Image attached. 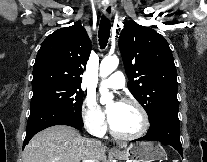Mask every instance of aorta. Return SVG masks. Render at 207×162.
Returning a JSON list of instances; mask_svg holds the SVG:
<instances>
[{"instance_id": "aorta-1", "label": "aorta", "mask_w": 207, "mask_h": 162, "mask_svg": "<svg viewBox=\"0 0 207 162\" xmlns=\"http://www.w3.org/2000/svg\"><path fill=\"white\" fill-rule=\"evenodd\" d=\"M119 59L116 55H109L106 56L100 64V76L102 78L107 77L110 75L115 69L118 67ZM101 93L100 102L102 104H109L112 103L113 95L112 93H109L107 87L102 84L99 89Z\"/></svg>"}]
</instances>
